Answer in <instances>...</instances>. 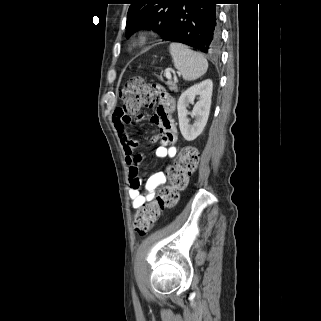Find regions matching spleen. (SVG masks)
I'll return each instance as SVG.
<instances>
[{"instance_id": "obj_1", "label": "spleen", "mask_w": 321, "mask_h": 321, "mask_svg": "<svg viewBox=\"0 0 321 321\" xmlns=\"http://www.w3.org/2000/svg\"><path fill=\"white\" fill-rule=\"evenodd\" d=\"M169 51L174 67L186 81H194L204 75L208 69L207 59L198 52L181 43H171Z\"/></svg>"}]
</instances>
